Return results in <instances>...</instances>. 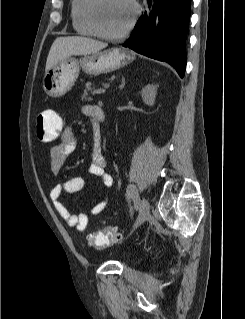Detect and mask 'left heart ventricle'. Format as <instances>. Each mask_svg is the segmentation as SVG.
<instances>
[{"mask_svg": "<svg viewBox=\"0 0 245 319\" xmlns=\"http://www.w3.org/2000/svg\"><path fill=\"white\" fill-rule=\"evenodd\" d=\"M133 16V7L128 0H102L98 18L102 28L110 33L123 30Z\"/></svg>", "mask_w": 245, "mask_h": 319, "instance_id": "b2bd125f", "label": "left heart ventricle"}]
</instances>
